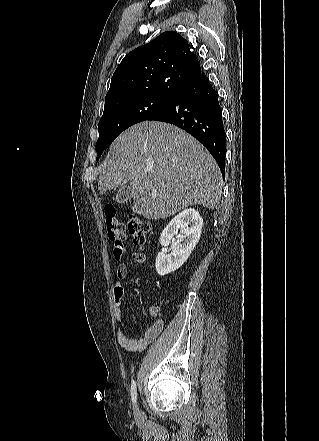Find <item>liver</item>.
Returning a JSON list of instances; mask_svg holds the SVG:
<instances>
[{"label":"liver","mask_w":319,"mask_h":441,"mask_svg":"<svg viewBox=\"0 0 319 441\" xmlns=\"http://www.w3.org/2000/svg\"><path fill=\"white\" fill-rule=\"evenodd\" d=\"M127 182L132 210L160 219L192 205L215 209L223 180L215 159L194 137L168 123L144 121L112 143L98 190L103 195Z\"/></svg>","instance_id":"liver-1"}]
</instances>
